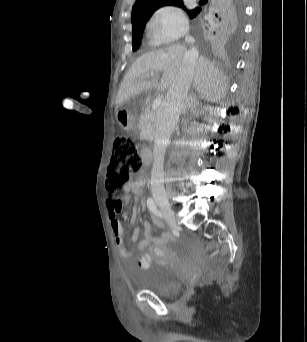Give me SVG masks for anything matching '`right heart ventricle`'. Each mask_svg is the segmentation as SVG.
<instances>
[{"label": "right heart ventricle", "mask_w": 307, "mask_h": 342, "mask_svg": "<svg viewBox=\"0 0 307 342\" xmlns=\"http://www.w3.org/2000/svg\"><path fill=\"white\" fill-rule=\"evenodd\" d=\"M144 51L146 52H154L156 51V44L150 40H148L145 36L143 37Z\"/></svg>", "instance_id": "right-heart-ventricle-1"}]
</instances>
